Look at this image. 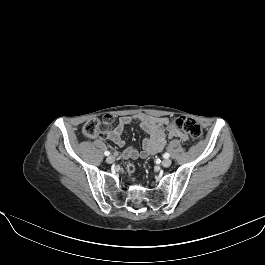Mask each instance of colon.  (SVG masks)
Here are the masks:
<instances>
[{
    "label": "colon",
    "mask_w": 265,
    "mask_h": 265,
    "mask_svg": "<svg viewBox=\"0 0 265 265\" xmlns=\"http://www.w3.org/2000/svg\"><path fill=\"white\" fill-rule=\"evenodd\" d=\"M113 118L110 115L105 116L103 119H92L88 121L84 127L83 132L88 137H96L102 136L108 133ZM171 124L186 132L192 139L194 140H202L203 139V131L201 126L192 118L186 116H180L175 118ZM127 172L129 174H133L135 172V165L133 163H129L127 165Z\"/></svg>",
    "instance_id": "5ec220e1"
}]
</instances>
